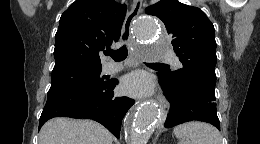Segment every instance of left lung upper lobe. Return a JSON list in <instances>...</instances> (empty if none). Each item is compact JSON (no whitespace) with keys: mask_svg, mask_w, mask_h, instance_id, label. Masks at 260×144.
<instances>
[{"mask_svg":"<svg viewBox=\"0 0 260 144\" xmlns=\"http://www.w3.org/2000/svg\"><path fill=\"white\" fill-rule=\"evenodd\" d=\"M145 12L163 21L183 65L176 71H163L170 82L178 85L193 79L215 89L217 56L214 26L204 12L177 0H161L147 7Z\"/></svg>","mask_w":260,"mask_h":144,"instance_id":"1","label":"left lung upper lobe"}]
</instances>
